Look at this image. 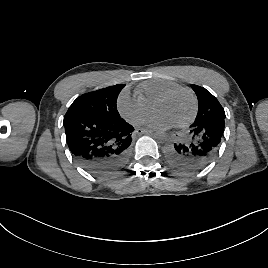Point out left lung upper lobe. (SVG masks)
I'll return each mask as SVG.
<instances>
[{
    "instance_id": "obj_1",
    "label": "left lung upper lobe",
    "mask_w": 268,
    "mask_h": 268,
    "mask_svg": "<svg viewBox=\"0 0 268 268\" xmlns=\"http://www.w3.org/2000/svg\"><path fill=\"white\" fill-rule=\"evenodd\" d=\"M191 88L197 95L199 108L196 119L190 128L205 123L212 124L219 118L225 119L223 107L208 90L198 85H191Z\"/></svg>"
}]
</instances>
